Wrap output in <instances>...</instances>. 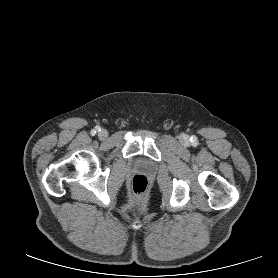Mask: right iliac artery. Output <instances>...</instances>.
<instances>
[{
  "instance_id": "82829eb1",
  "label": "right iliac artery",
  "mask_w": 278,
  "mask_h": 278,
  "mask_svg": "<svg viewBox=\"0 0 278 278\" xmlns=\"http://www.w3.org/2000/svg\"><path fill=\"white\" fill-rule=\"evenodd\" d=\"M97 131H100V128H99V127H96L95 129H93V130L91 131V134H92V135H95Z\"/></svg>"
}]
</instances>
